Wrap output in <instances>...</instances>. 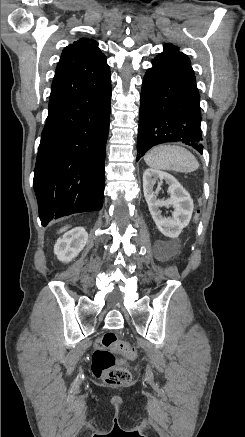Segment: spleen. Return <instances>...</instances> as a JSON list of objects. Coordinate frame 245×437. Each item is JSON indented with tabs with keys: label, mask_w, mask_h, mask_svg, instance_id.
<instances>
[{
	"label": "spleen",
	"mask_w": 245,
	"mask_h": 437,
	"mask_svg": "<svg viewBox=\"0 0 245 437\" xmlns=\"http://www.w3.org/2000/svg\"><path fill=\"white\" fill-rule=\"evenodd\" d=\"M148 166L160 170L189 173L199 168L196 157L187 149L177 145H159L144 157Z\"/></svg>",
	"instance_id": "spleen-1"
}]
</instances>
